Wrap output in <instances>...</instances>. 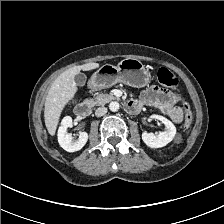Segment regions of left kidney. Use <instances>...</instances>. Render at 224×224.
Segmentation results:
<instances>
[{
	"label": "left kidney",
	"instance_id": "obj_1",
	"mask_svg": "<svg viewBox=\"0 0 224 224\" xmlns=\"http://www.w3.org/2000/svg\"><path fill=\"white\" fill-rule=\"evenodd\" d=\"M152 119L159 120L165 125V131L160 132L158 135L153 133L143 132L142 140L150 148H161L170 143L176 135V127L167 118L160 115H152Z\"/></svg>",
	"mask_w": 224,
	"mask_h": 224
}]
</instances>
